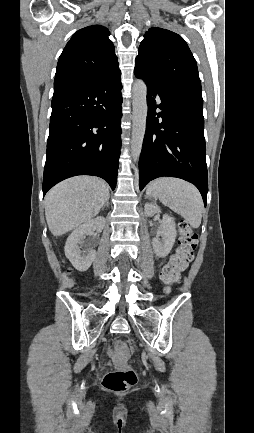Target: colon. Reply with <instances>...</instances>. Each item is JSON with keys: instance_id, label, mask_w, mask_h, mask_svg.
Masks as SVG:
<instances>
[{"instance_id": "obj_1", "label": "colon", "mask_w": 254, "mask_h": 433, "mask_svg": "<svg viewBox=\"0 0 254 433\" xmlns=\"http://www.w3.org/2000/svg\"><path fill=\"white\" fill-rule=\"evenodd\" d=\"M179 234L178 247L161 270V279L169 286L178 282L179 272L192 260L198 244V235L189 223L185 221L179 223ZM118 351L120 357L125 354L126 346L122 342H118ZM136 382L137 375L132 368L119 366L104 375L102 385L110 392L123 393Z\"/></svg>"}]
</instances>
